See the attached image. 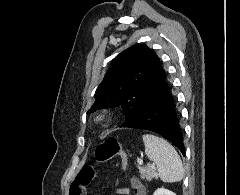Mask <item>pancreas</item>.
<instances>
[{
  "mask_svg": "<svg viewBox=\"0 0 240 195\" xmlns=\"http://www.w3.org/2000/svg\"><path fill=\"white\" fill-rule=\"evenodd\" d=\"M138 169L140 171L141 179H147V181H152L153 177H155V179H157L158 177L156 167H151V165H144V167H141V165H139Z\"/></svg>",
  "mask_w": 240,
  "mask_h": 195,
  "instance_id": "1",
  "label": "pancreas"
}]
</instances>
